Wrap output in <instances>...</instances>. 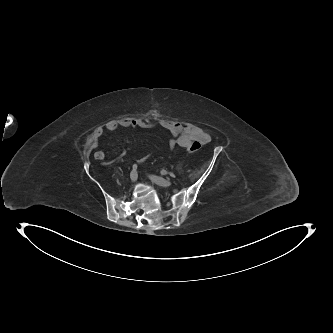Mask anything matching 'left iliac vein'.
<instances>
[{
	"instance_id": "left-iliac-vein-1",
	"label": "left iliac vein",
	"mask_w": 333,
	"mask_h": 333,
	"mask_svg": "<svg viewBox=\"0 0 333 333\" xmlns=\"http://www.w3.org/2000/svg\"><path fill=\"white\" fill-rule=\"evenodd\" d=\"M149 178L153 183H156L157 185L162 186V187H168L171 185L170 180H167V179L155 176V175H150Z\"/></svg>"
}]
</instances>
